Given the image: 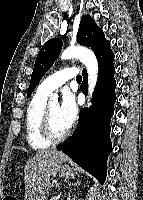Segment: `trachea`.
I'll return each mask as SVG.
<instances>
[{"mask_svg":"<svg viewBox=\"0 0 143 200\" xmlns=\"http://www.w3.org/2000/svg\"><path fill=\"white\" fill-rule=\"evenodd\" d=\"M76 81H77V82H81V81H82V76H81V75H78V76L76 77Z\"/></svg>","mask_w":143,"mask_h":200,"instance_id":"1","label":"trachea"}]
</instances>
